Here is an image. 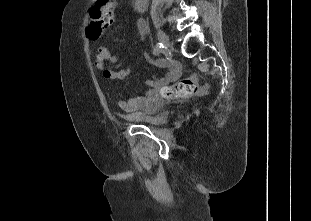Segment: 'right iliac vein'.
Listing matches in <instances>:
<instances>
[{
  "mask_svg": "<svg viewBox=\"0 0 311 221\" xmlns=\"http://www.w3.org/2000/svg\"><path fill=\"white\" fill-rule=\"evenodd\" d=\"M158 39L166 49L171 47L169 38L163 30H158Z\"/></svg>",
  "mask_w": 311,
  "mask_h": 221,
  "instance_id": "right-iliac-vein-1",
  "label": "right iliac vein"
}]
</instances>
